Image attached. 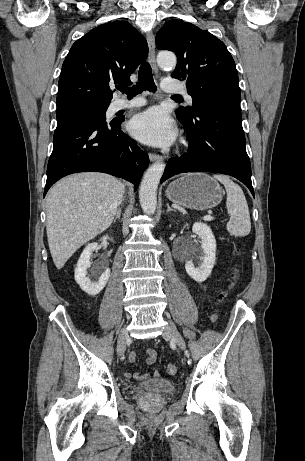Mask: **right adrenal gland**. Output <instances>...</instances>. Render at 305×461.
Masks as SVG:
<instances>
[{
  "label": "right adrenal gland",
  "mask_w": 305,
  "mask_h": 461,
  "mask_svg": "<svg viewBox=\"0 0 305 461\" xmlns=\"http://www.w3.org/2000/svg\"><path fill=\"white\" fill-rule=\"evenodd\" d=\"M120 217H121V208L119 207L118 210H117V212H116V216H115V218L113 219V222L115 223L116 220H119V219H120Z\"/></svg>",
  "instance_id": "right-adrenal-gland-1"
}]
</instances>
